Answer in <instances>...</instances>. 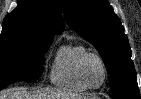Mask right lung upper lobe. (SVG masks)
I'll return each instance as SVG.
<instances>
[{
    "mask_svg": "<svg viewBox=\"0 0 141 99\" xmlns=\"http://www.w3.org/2000/svg\"><path fill=\"white\" fill-rule=\"evenodd\" d=\"M3 21L0 37H24L51 42L65 25L59 0H18Z\"/></svg>",
    "mask_w": 141,
    "mask_h": 99,
    "instance_id": "right-lung-upper-lobe-1",
    "label": "right lung upper lobe"
}]
</instances>
